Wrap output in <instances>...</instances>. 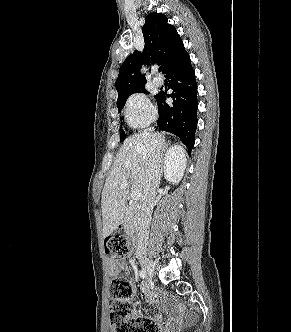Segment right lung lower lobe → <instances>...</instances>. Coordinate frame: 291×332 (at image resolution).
<instances>
[{"instance_id": "1", "label": "right lung lower lobe", "mask_w": 291, "mask_h": 332, "mask_svg": "<svg viewBox=\"0 0 291 332\" xmlns=\"http://www.w3.org/2000/svg\"><path fill=\"white\" fill-rule=\"evenodd\" d=\"M165 74L166 78L170 79L169 88L173 92L170 95L160 92L155 96L159 111L157 125L160 130L180 137L191 151L195 143L198 101L197 83L190 57L185 58ZM167 97L173 99L172 105L165 103Z\"/></svg>"}]
</instances>
